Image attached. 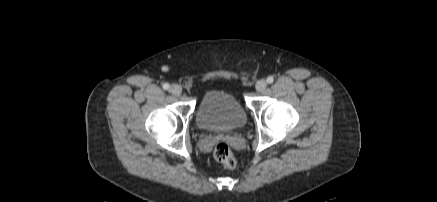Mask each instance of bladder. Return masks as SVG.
Returning <instances> with one entry per match:
<instances>
[{
  "instance_id": "bladder-1",
  "label": "bladder",
  "mask_w": 437,
  "mask_h": 202,
  "mask_svg": "<svg viewBox=\"0 0 437 202\" xmlns=\"http://www.w3.org/2000/svg\"><path fill=\"white\" fill-rule=\"evenodd\" d=\"M246 112L239 100L226 90L207 91L201 98L196 124L207 132H231L246 123Z\"/></svg>"
}]
</instances>
